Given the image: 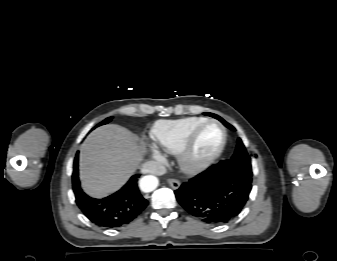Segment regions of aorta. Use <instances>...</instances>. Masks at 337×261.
<instances>
[{"instance_id":"aorta-1","label":"aorta","mask_w":337,"mask_h":261,"mask_svg":"<svg viewBox=\"0 0 337 261\" xmlns=\"http://www.w3.org/2000/svg\"><path fill=\"white\" fill-rule=\"evenodd\" d=\"M158 186V179L153 175H147L141 178L140 188L143 192L148 193L154 191Z\"/></svg>"}]
</instances>
